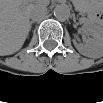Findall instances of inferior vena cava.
I'll return each instance as SVG.
<instances>
[{
    "label": "inferior vena cava",
    "mask_w": 103,
    "mask_h": 103,
    "mask_svg": "<svg viewBox=\"0 0 103 103\" xmlns=\"http://www.w3.org/2000/svg\"><path fill=\"white\" fill-rule=\"evenodd\" d=\"M45 13H46L45 7H38V8L33 9L30 12V18L33 20H38V19L43 18Z\"/></svg>",
    "instance_id": "1"
}]
</instances>
